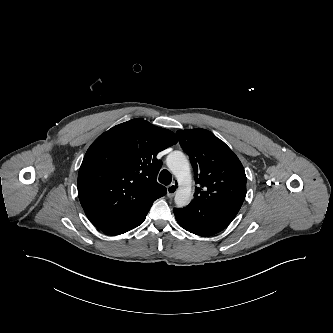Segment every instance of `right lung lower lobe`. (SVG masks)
I'll use <instances>...</instances> for the list:
<instances>
[{"instance_id": "98d812e1", "label": "right lung lower lobe", "mask_w": 333, "mask_h": 333, "mask_svg": "<svg viewBox=\"0 0 333 333\" xmlns=\"http://www.w3.org/2000/svg\"><path fill=\"white\" fill-rule=\"evenodd\" d=\"M147 213H144L139 217L133 218L129 221L106 225L100 227L99 229L108 235H120L139 226L145 220Z\"/></svg>"}]
</instances>
